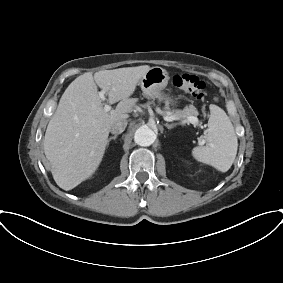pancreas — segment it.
<instances>
[{
	"label": "pancreas",
	"mask_w": 283,
	"mask_h": 283,
	"mask_svg": "<svg viewBox=\"0 0 283 283\" xmlns=\"http://www.w3.org/2000/svg\"><path fill=\"white\" fill-rule=\"evenodd\" d=\"M197 115H198V111L193 105H190L189 107H185L183 110H175L169 112V116H175L177 120H181L189 116L196 117Z\"/></svg>",
	"instance_id": "pancreas-1"
}]
</instances>
